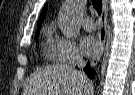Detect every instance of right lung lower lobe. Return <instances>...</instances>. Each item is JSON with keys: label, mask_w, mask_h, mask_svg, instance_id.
<instances>
[{"label": "right lung lower lobe", "mask_w": 135, "mask_h": 95, "mask_svg": "<svg viewBox=\"0 0 135 95\" xmlns=\"http://www.w3.org/2000/svg\"><path fill=\"white\" fill-rule=\"evenodd\" d=\"M84 71L86 72V74L90 77L93 78L95 72L93 70L90 69V64H88L85 68Z\"/></svg>", "instance_id": "right-lung-lower-lobe-1"}]
</instances>
